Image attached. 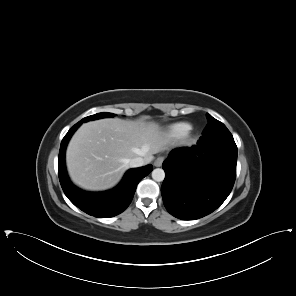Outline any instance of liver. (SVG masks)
Masks as SVG:
<instances>
[{
	"label": "liver",
	"mask_w": 296,
	"mask_h": 296,
	"mask_svg": "<svg viewBox=\"0 0 296 296\" xmlns=\"http://www.w3.org/2000/svg\"><path fill=\"white\" fill-rule=\"evenodd\" d=\"M168 143L167 134L155 122L119 118L87 122L67 147L68 172L84 189L106 190L120 181L131 159L142 157L148 164Z\"/></svg>",
	"instance_id": "liver-1"
}]
</instances>
